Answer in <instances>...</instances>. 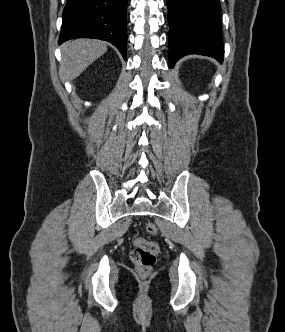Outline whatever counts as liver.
<instances>
[{"instance_id": "liver-1", "label": "liver", "mask_w": 285, "mask_h": 332, "mask_svg": "<svg viewBox=\"0 0 285 332\" xmlns=\"http://www.w3.org/2000/svg\"><path fill=\"white\" fill-rule=\"evenodd\" d=\"M61 72L67 80L77 78L107 51V43L95 39H75L61 46Z\"/></svg>"}]
</instances>
